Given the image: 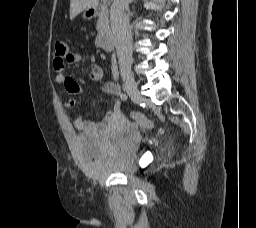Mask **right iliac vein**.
I'll list each match as a JSON object with an SVG mask.
<instances>
[{
    "label": "right iliac vein",
    "mask_w": 256,
    "mask_h": 228,
    "mask_svg": "<svg viewBox=\"0 0 256 228\" xmlns=\"http://www.w3.org/2000/svg\"><path fill=\"white\" fill-rule=\"evenodd\" d=\"M125 89L127 93L134 99V100H140L141 94L138 90L137 83L132 75H125L123 77Z\"/></svg>",
    "instance_id": "63e3f726"
}]
</instances>
